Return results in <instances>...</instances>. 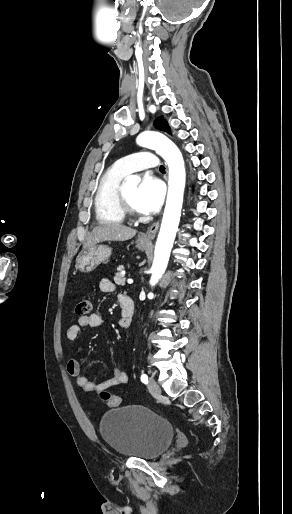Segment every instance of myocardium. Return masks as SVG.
Returning <instances> with one entry per match:
<instances>
[{
    "mask_svg": "<svg viewBox=\"0 0 292 514\" xmlns=\"http://www.w3.org/2000/svg\"><path fill=\"white\" fill-rule=\"evenodd\" d=\"M114 202L117 210L126 218L136 219L140 216L138 210L132 208L124 197L122 188L119 186L115 191Z\"/></svg>",
    "mask_w": 292,
    "mask_h": 514,
    "instance_id": "obj_1",
    "label": "myocardium"
}]
</instances>
